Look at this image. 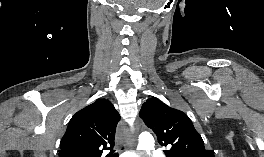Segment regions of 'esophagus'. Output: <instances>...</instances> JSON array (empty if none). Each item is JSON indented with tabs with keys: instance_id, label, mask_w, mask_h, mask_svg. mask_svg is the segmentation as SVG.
Listing matches in <instances>:
<instances>
[{
	"instance_id": "obj_1",
	"label": "esophagus",
	"mask_w": 264,
	"mask_h": 157,
	"mask_svg": "<svg viewBox=\"0 0 264 157\" xmlns=\"http://www.w3.org/2000/svg\"><path fill=\"white\" fill-rule=\"evenodd\" d=\"M126 142L130 150L135 151L136 149V135L131 133L129 129L126 130Z\"/></svg>"
}]
</instances>
